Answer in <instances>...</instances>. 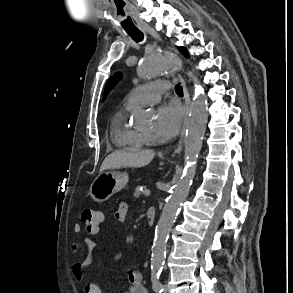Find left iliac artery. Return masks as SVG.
<instances>
[{"label": "left iliac artery", "mask_w": 293, "mask_h": 293, "mask_svg": "<svg viewBox=\"0 0 293 293\" xmlns=\"http://www.w3.org/2000/svg\"><path fill=\"white\" fill-rule=\"evenodd\" d=\"M161 271H162L161 269H152V272H151L152 287H153V290L157 293L163 292V285L159 279Z\"/></svg>", "instance_id": "44dca946"}]
</instances>
